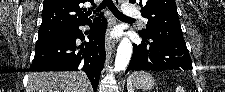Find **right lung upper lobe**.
I'll return each mask as SVG.
<instances>
[{
  "mask_svg": "<svg viewBox=\"0 0 225 92\" xmlns=\"http://www.w3.org/2000/svg\"><path fill=\"white\" fill-rule=\"evenodd\" d=\"M89 1L93 7L94 0H44L42 24L44 27H75L90 20V11L81 8L80 4Z\"/></svg>",
  "mask_w": 225,
  "mask_h": 92,
  "instance_id": "obj_1",
  "label": "right lung upper lobe"
}]
</instances>
